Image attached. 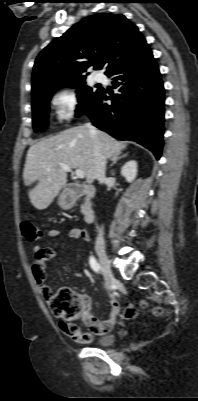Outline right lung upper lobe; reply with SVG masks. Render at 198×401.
Here are the masks:
<instances>
[{"instance_id": "1", "label": "right lung upper lobe", "mask_w": 198, "mask_h": 401, "mask_svg": "<svg viewBox=\"0 0 198 401\" xmlns=\"http://www.w3.org/2000/svg\"><path fill=\"white\" fill-rule=\"evenodd\" d=\"M145 45L138 28L124 15L98 13L84 18L39 53L32 74V99L83 82L81 74L98 62L108 74Z\"/></svg>"}]
</instances>
